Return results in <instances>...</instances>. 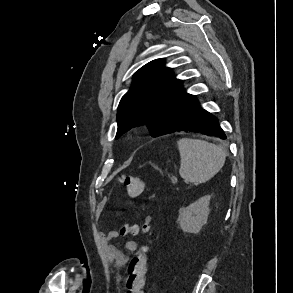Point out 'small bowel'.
I'll return each mask as SVG.
<instances>
[{"label": "small bowel", "instance_id": "c3829d8e", "mask_svg": "<svg viewBox=\"0 0 293 293\" xmlns=\"http://www.w3.org/2000/svg\"><path fill=\"white\" fill-rule=\"evenodd\" d=\"M152 222V218L147 216L143 222L142 226H149ZM101 239L105 247V251L108 259L113 263L114 268L117 272H120L126 265L128 258L115 246L109 244L111 240H121L123 248L128 252H134L137 249V245L134 241L129 239H124L123 235L116 230H112L101 234ZM120 280V276L117 277Z\"/></svg>", "mask_w": 293, "mask_h": 293}]
</instances>
